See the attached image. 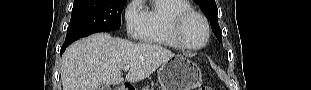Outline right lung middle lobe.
Wrapping results in <instances>:
<instances>
[{
  "label": "right lung middle lobe",
  "instance_id": "dd1d6c3e",
  "mask_svg": "<svg viewBox=\"0 0 311 90\" xmlns=\"http://www.w3.org/2000/svg\"><path fill=\"white\" fill-rule=\"evenodd\" d=\"M126 0H75L64 44L96 32L117 30Z\"/></svg>",
  "mask_w": 311,
  "mask_h": 90
}]
</instances>
